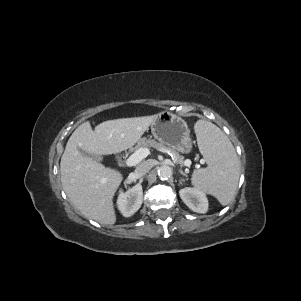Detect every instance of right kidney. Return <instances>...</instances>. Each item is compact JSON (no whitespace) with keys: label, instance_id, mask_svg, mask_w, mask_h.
Wrapping results in <instances>:
<instances>
[{"label":"right kidney","instance_id":"ca27d5eb","mask_svg":"<svg viewBox=\"0 0 301 301\" xmlns=\"http://www.w3.org/2000/svg\"><path fill=\"white\" fill-rule=\"evenodd\" d=\"M143 202V190L140 184H136L125 193L120 192L117 206L124 217H130L136 213Z\"/></svg>","mask_w":301,"mask_h":301}]
</instances>
